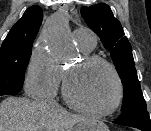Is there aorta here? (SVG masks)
I'll list each match as a JSON object with an SVG mask.
<instances>
[{
    "label": "aorta",
    "instance_id": "762f6f07",
    "mask_svg": "<svg viewBox=\"0 0 151 131\" xmlns=\"http://www.w3.org/2000/svg\"><path fill=\"white\" fill-rule=\"evenodd\" d=\"M44 39L46 44L53 48L56 60L69 61L75 57V46L69 35L64 15L52 18L45 29Z\"/></svg>",
    "mask_w": 151,
    "mask_h": 131
}]
</instances>
